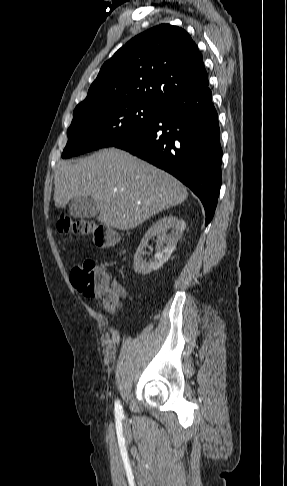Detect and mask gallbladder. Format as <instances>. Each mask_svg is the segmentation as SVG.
I'll list each match as a JSON object with an SVG mask.
<instances>
[{
	"label": "gallbladder",
	"instance_id": "gallbladder-1",
	"mask_svg": "<svg viewBox=\"0 0 287 486\" xmlns=\"http://www.w3.org/2000/svg\"><path fill=\"white\" fill-rule=\"evenodd\" d=\"M69 216L72 218H93L99 214L97 203L90 197H75L70 200Z\"/></svg>",
	"mask_w": 287,
	"mask_h": 486
}]
</instances>
